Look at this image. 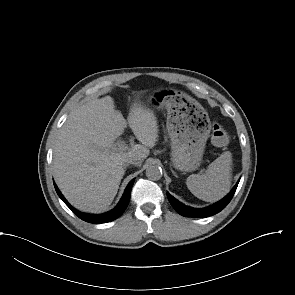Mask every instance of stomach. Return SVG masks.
Returning a JSON list of instances; mask_svg holds the SVG:
<instances>
[{
	"mask_svg": "<svg viewBox=\"0 0 295 295\" xmlns=\"http://www.w3.org/2000/svg\"><path fill=\"white\" fill-rule=\"evenodd\" d=\"M150 102L167 110L173 166L185 172L196 170L202 161L211 122L202 105L188 94L171 88L154 91Z\"/></svg>",
	"mask_w": 295,
	"mask_h": 295,
	"instance_id": "stomach-1",
	"label": "stomach"
}]
</instances>
